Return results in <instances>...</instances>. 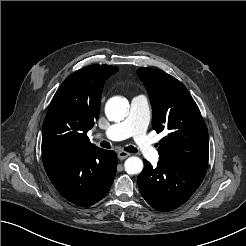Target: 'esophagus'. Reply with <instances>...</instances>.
Returning a JSON list of instances; mask_svg holds the SVG:
<instances>
[{
    "mask_svg": "<svg viewBox=\"0 0 246 246\" xmlns=\"http://www.w3.org/2000/svg\"><path fill=\"white\" fill-rule=\"evenodd\" d=\"M117 156H118V158H119L120 160H123V159L127 158L128 156H130V153L125 152V151H119V152L117 153Z\"/></svg>",
    "mask_w": 246,
    "mask_h": 246,
    "instance_id": "34e87169",
    "label": "esophagus"
}]
</instances>
